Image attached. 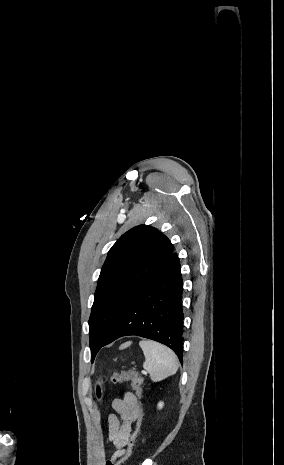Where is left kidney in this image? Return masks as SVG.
I'll return each instance as SVG.
<instances>
[{"instance_id":"obj_1","label":"left kidney","mask_w":284,"mask_h":465,"mask_svg":"<svg viewBox=\"0 0 284 465\" xmlns=\"http://www.w3.org/2000/svg\"><path fill=\"white\" fill-rule=\"evenodd\" d=\"M163 403H158V409H162Z\"/></svg>"}]
</instances>
